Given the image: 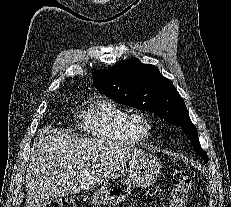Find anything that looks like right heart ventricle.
<instances>
[{
    "mask_svg": "<svg viewBox=\"0 0 231 207\" xmlns=\"http://www.w3.org/2000/svg\"><path fill=\"white\" fill-rule=\"evenodd\" d=\"M130 112L111 99L98 96L77 112L79 128L86 135L104 141L140 143L133 130Z\"/></svg>",
    "mask_w": 231,
    "mask_h": 207,
    "instance_id": "e07e8e85",
    "label": "right heart ventricle"
}]
</instances>
